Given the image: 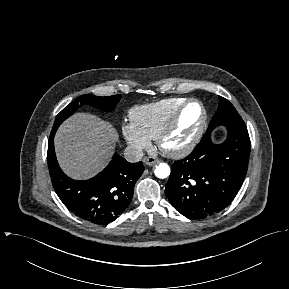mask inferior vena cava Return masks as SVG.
<instances>
[{"label":"inferior vena cava","instance_id":"obj_1","mask_svg":"<svg viewBox=\"0 0 289 289\" xmlns=\"http://www.w3.org/2000/svg\"><path fill=\"white\" fill-rule=\"evenodd\" d=\"M143 156V150L136 146H127L124 150V158L131 163L141 161Z\"/></svg>","mask_w":289,"mask_h":289}]
</instances>
